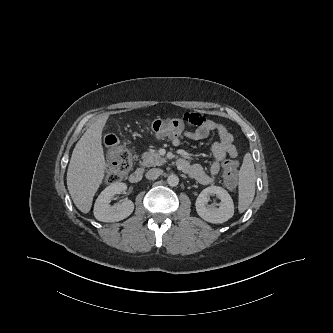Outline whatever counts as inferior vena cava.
<instances>
[{"mask_svg":"<svg viewBox=\"0 0 333 333\" xmlns=\"http://www.w3.org/2000/svg\"><path fill=\"white\" fill-rule=\"evenodd\" d=\"M163 173V171L159 168H153L150 169L147 173H146V178L149 180H155L157 179L161 174Z\"/></svg>","mask_w":333,"mask_h":333,"instance_id":"inferior-vena-cava-1","label":"inferior vena cava"}]
</instances>
